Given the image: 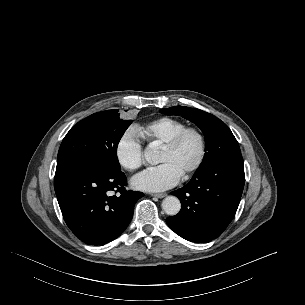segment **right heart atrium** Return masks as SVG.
Listing matches in <instances>:
<instances>
[{"instance_id":"1","label":"right heart atrium","mask_w":305,"mask_h":305,"mask_svg":"<svg viewBox=\"0 0 305 305\" xmlns=\"http://www.w3.org/2000/svg\"><path fill=\"white\" fill-rule=\"evenodd\" d=\"M117 162L128 171L139 169L144 160L142 142L134 130L125 131L115 147Z\"/></svg>"}]
</instances>
